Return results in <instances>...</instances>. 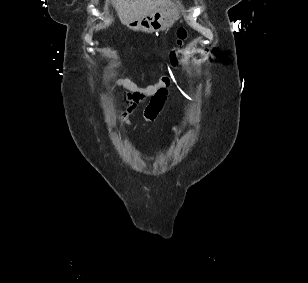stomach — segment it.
Instances as JSON below:
<instances>
[{"mask_svg":"<svg viewBox=\"0 0 308 283\" xmlns=\"http://www.w3.org/2000/svg\"><path fill=\"white\" fill-rule=\"evenodd\" d=\"M179 7L174 3L160 7L153 13L137 18L127 24L133 31L143 33H154L170 28L179 18Z\"/></svg>","mask_w":308,"mask_h":283,"instance_id":"stomach-1","label":"stomach"}]
</instances>
